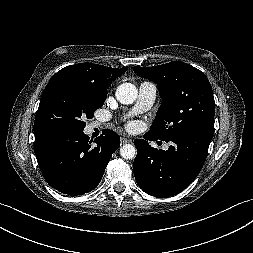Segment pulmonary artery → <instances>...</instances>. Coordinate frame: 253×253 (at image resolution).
<instances>
[{
  "instance_id": "e3ab8cb5",
  "label": "pulmonary artery",
  "mask_w": 253,
  "mask_h": 253,
  "mask_svg": "<svg viewBox=\"0 0 253 253\" xmlns=\"http://www.w3.org/2000/svg\"><path fill=\"white\" fill-rule=\"evenodd\" d=\"M157 94V86L149 81L141 82L137 102L132 110V114L147 111L154 104ZM167 149V146L164 147Z\"/></svg>"
}]
</instances>
